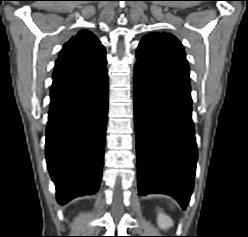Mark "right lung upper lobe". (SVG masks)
Listing matches in <instances>:
<instances>
[{"instance_id": "right-lung-upper-lobe-1", "label": "right lung upper lobe", "mask_w": 248, "mask_h": 237, "mask_svg": "<svg viewBox=\"0 0 248 237\" xmlns=\"http://www.w3.org/2000/svg\"><path fill=\"white\" fill-rule=\"evenodd\" d=\"M105 65L106 52L100 41L90 31H79L60 51L53 79L83 75Z\"/></svg>"}]
</instances>
